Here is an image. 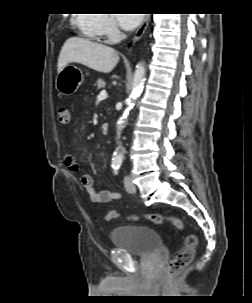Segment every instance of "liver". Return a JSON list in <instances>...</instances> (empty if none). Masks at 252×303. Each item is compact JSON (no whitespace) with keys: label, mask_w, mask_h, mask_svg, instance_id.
I'll use <instances>...</instances> for the list:
<instances>
[{"label":"liver","mask_w":252,"mask_h":303,"mask_svg":"<svg viewBox=\"0 0 252 303\" xmlns=\"http://www.w3.org/2000/svg\"><path fill=\"white\" fill-rule=\"evenodd\" d=\"M118 61V53L112 47L89 39L71 37L61 49L57 71L59 73L69 63H80L93 70L109 73Z\"/></svg>","instance_id":"obj_1"}]
</instances>
